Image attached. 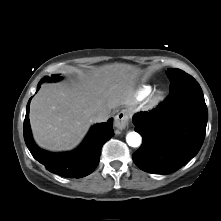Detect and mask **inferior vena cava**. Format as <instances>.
Returning <instances> with one entry per match:
<instances>
[{
  "instance_id": "602c4592",
  "label": "inferior vena cava",
  "mask_w": 221,
  "mask_h": 221,
  "mask_svg": "<svg viewBox=\"0 0 221 221\" xmlns=\"http://www.w3.org/2000/svg\"><path fill=\"white\" fill-rule=\"evenodd\" d=\"M109 114H110V112H107V111L98 112V113L94 114V115L90 118V121H91L92 123L105 122V121L108 120Z\"/></svg>"
}]
</instances>
